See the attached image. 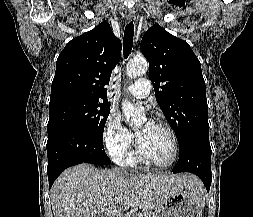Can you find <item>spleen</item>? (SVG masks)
Returning a JSON list of instances; mask_svg holds the SVG:
<instances>
[{
  "label": "spleen",
  "instance_id": "3e777b00",
  "mask_svg": "<svg viewBox=\"0 0 253 217\" xmlns=\"http://www.w3.org/2000/svg\"><path fill=\"white\" fill-rule=\"evenodd\" d=\"M201 201L204 203V196L201 197Z\"/></svg>",
  "mask_w": 253,
  "mask_h": 217
}]
</instances>
